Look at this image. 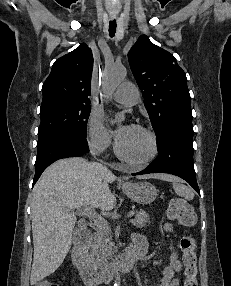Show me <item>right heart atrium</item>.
I'll use <instances>...</instances> for the list:
<instances>
[{"mask_svg":"<svg viewBox=\"0 0 231 286\" xmlns=\"http://www.w3.org/2000/svg\"><path fill=\"white\" fill-rule=\"evenodd\" d=\"M86 139L89 149L95 154H103L111 147L112 137L100 114L92 113L90 115Z\"/></svg>","mask_w":231,"mask_h":286,"instance_id":"d8ad5b80","label":"right heart atrium"}]
</instances>
